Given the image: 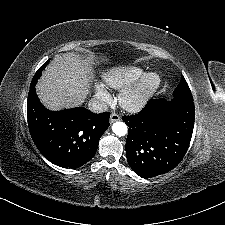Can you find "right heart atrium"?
<instances>
[{
    "label": "right heart atrium",
    "instance_id": "d8ad5b80",
    "mask_svg": "<svg viewBox=\"0 0 225 225\" xmlns=\"http://www.w3.org/2000/svg\"><path fill=\"white\" fill-rule=\"evenodd\" d=\"M94 91H95L96 97L102 99L103 101L108 96L107 91L105 90L104 86L100 83H97L95 85Z\"/></svg>",
    "mask_w": 225,
    "mask_h": 225
}]
</instances>
